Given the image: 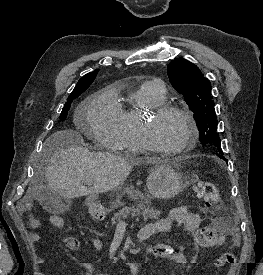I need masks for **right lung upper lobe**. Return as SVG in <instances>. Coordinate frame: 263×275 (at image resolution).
<instances>
[{
  "label": "right lung upper lobe",
  "mask_w": 263,
  "mask_h": 275,
  "mask_svg": "<svg viewBox=\"0 0 263 275\" xmlns=\"http://www.w3.org/2000/svg\"><path fill=\"white\" fill-rule=\"evenodd\" d=\"M97 73H98V69H96L93 72H90V73L84 75L78 81L76 87L74 88V90L72 91V93L70 95H73V94L79 92L80 90H82L84 88H88L91 85V83L94 81Z\"/></svg>",
  "instance_id": "right-lung-upper-lobe-1"
}]
</instances>
